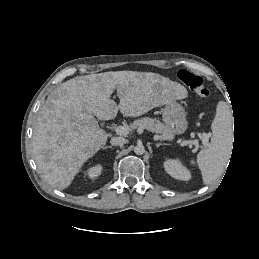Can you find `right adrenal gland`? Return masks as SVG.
Returning <instances> with one entry per match:
<instances>
[{
  "mask_svg": "<svg viewBox=\"0 0 259 259\" xmlns=\"http://www.w3.org/2000/svg\"><path fill=\"white\" fill-rule=\"evenodd\" d=\"M107 148H111L112 149V146H105L104 149H107Z\"/></svg>",
  "mask_w": 259,
  "mask_h": 259,
  "instance_id": "obj_1",
  "label": "right adrenal gland"
}]
</instances>
